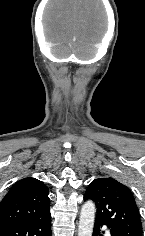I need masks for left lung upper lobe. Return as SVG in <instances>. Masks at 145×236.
Segmentation results:
<instances>
[{
  "instance_id": "5c2ea615",
  "label": "left lung upper lobe",
  "mask_w": 145,
  "mask_h": 236,
  "mask_svg": "<svg viewBox=\"0 0 145 236\" xmlns=\"http://www.w3.org/2000/svg\"><path fill=\"white\" fill-rule=\"evenodd\" d=\"M97 207L96 219L106 224L114 236H142V223L130 189L112 177L93 180L84 200Z\"/></svg>"
}]
</instances>
